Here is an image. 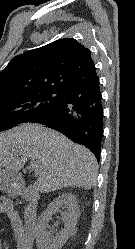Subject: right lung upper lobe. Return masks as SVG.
Returning a JSON list of instances; mask_svg holds the SVG:
<instances>
[{
	"label": "right lung upper lobe",
	"instance_id": "obj_1",
	"mask_svg": "<svg viewBox=\"0 0 135 249\" xmlns=\"http://www.w3.org/2000/svg\"><path fill=\"white\" fill-rule=\"evenodd\" d=\"M97 77L91 52L64 38L15 56L0 72V97L35 91L64 92Z\"/></svg>",
	"mask_w": 135,
	"mask_h": 249
}]
</instances>
